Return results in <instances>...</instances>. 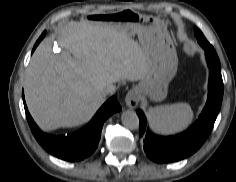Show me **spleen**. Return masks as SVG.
I'll use <instances>...</instances> for the list:
<instances>
[{"label":"spleen","instance_id":"obj_1","mask_svg":"<svg viewBox=\"0 0 236 182\" xmlns=\"http://www.w3.org/2000/svg\"><path fill=\"white\" fill-rule=\"evenodd\" d=\"M151 128L158 133L171 134L184 130L193 120V111L187 103H175L149 108Z\"/></svg>","mask_w":236,"mask_h":182}]
</instances>
